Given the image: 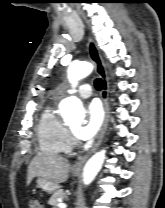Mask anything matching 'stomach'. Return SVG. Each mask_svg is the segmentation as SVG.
I'll use <instances>...</instances> for the list:
<instances>
[{
    "label": "stomach",
    "instance_id": "0dacf381",
    "mask_svg": "<svg viewBox=\"0 0 165 208\" xmlns=\"http://www.w3.org/2000/svg\"><path fill=\"white\" fill-rule=\"evenodd\" d=\"M74 175H79V171L73 170ZM37 187L41 189L43 192L51 194L58 189V185L51 180L45 179L43 177H39L37 179Z\"/></svg>",
    "mask_w": 165,
    "mask_h": 208
}]
</instances>
